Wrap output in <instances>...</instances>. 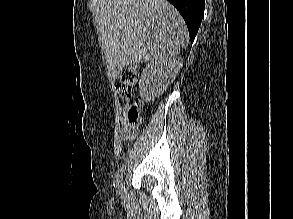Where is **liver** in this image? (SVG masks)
Wrapping results in <instances>:
<instances>
[{
  "mask_svg": "<svg viewBox=\"0 0 293 219\" xmlns=\"http://www.w3.org/2000/svg\"><path fill=\"white\" fill-rule=\"evenodd\" d=\"M95 23L113 80L128 65L177 56L187 41L183 18L166 0H98Z\"/></svg>",
  "mask_w": 293,
  "mask_h": 219,
  "instance_id": "obj_1",
  "label": "liver"
}]
</instances>
